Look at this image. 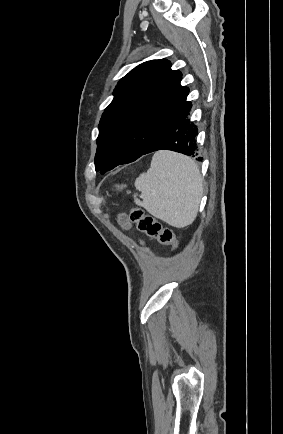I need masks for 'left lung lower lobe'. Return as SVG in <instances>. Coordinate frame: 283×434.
Returning <instances> with one entry per match:
<instances>
[{
    "label": "left lung lower lobe",
    "instance_id": "1",
    "mask_svg": "<svg viewBox=\"0 0 283 434\" xmlns=\"http://www.w3.org/2000/svg\"><path fill=\"white\" fill-rule=\"evenodd\" d=\"M191 107V102L182 103L164 122L142 155L165 149L194 157L198 129L187 118ZM197 160L201 161L202 158L198 157Z\"/></svg>",
    "mask_w": 283,
    "mask_h": 434
}]
</instances>
